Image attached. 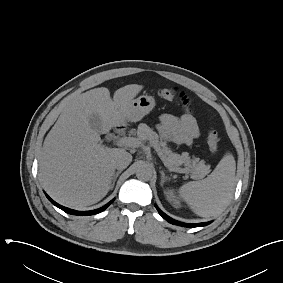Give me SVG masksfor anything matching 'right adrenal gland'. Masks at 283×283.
Returning a JSON list of instances; mask_svg holds the SVG:
<instances>
[{
	"mask_svg": "<svg viewBox=\"0 0 283 283\" xmlns=\"http://www.w3.org/2000/svg\"><path fill=\"white\" fill-rule=\"evenodd\" d=\"M121 173V171H117L114 175H113V178H112V184H111V189L114 188V185H115V182L119 176V174Z\"/></svg>",
	"mask_w": 283,
	"mask_h": 283,
	"instance_id": "2a0ac1e0",
	"label": "right adrenal gland"
}]
</instances>
